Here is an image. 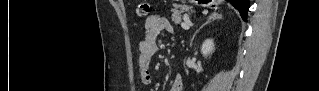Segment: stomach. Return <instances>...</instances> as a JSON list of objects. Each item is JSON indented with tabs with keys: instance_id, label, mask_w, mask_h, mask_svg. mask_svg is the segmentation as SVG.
I'll list each match as a JSON object with an SVG mask.
<instances>
[{
	"instance_id": "1",
	"label": "stomach",
	"mask_w": 319,
	"mask_h": 91,
	"mask_svg": "<svg viewBox=\"0 0 319 91\" xmlns=\"http://www.w3.org/2000/svg\"><path fill=\"white\" fill-rule=\"evenodd\" d=\"M209 2H211V1H200L199 3H201V4H211Z\"/></svg>"
}]
</instances>
